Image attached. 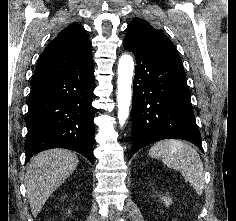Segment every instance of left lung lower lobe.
<instances>
[{"mask_svg": "<svg viewBox=\"0 0 236 221\" xmlns=\"http://www.w3.org/2000/svg\"><path fill=\"white\" fill-rule=\"evenodd\" d=\"M125 50L136 57L132 103V150L169 138L184 139L202 149L186 73L178 61L136 41L125 38Z\"/></svg>", "mask_w": 236, "mask_h": 221, "instance_id": "0a47b994", "label": "left lung lower lobe"}]
</instances>
